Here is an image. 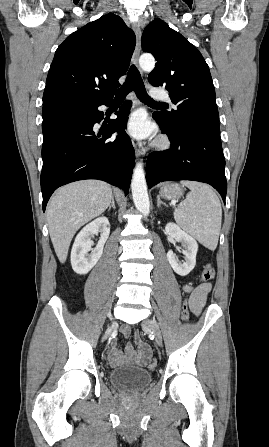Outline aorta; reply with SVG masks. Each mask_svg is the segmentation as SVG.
Returning <instances> with one entry per match:
<instances>
[{
  "mask_svg": "<svg viewBox=\"0 0 269 447\" xmlns=\"http://www.w3.org/2000/svg\"><path fill=\"white\" fill-rule=\"evenodd\" d=\"M139 66L142 70H144V72H151V70L155 68V60L152 54H142L139 58ZM131 190L133 202L137 210H139L143 216H148L150 212V202L148 198L143 164H140V162L139 164H136V168H134Z\"/></svg>",
  "mask_w": 269,
  "mask_h": 447,
  "instance_id": "1",
  "label": "aorta"
}]
</instances>
